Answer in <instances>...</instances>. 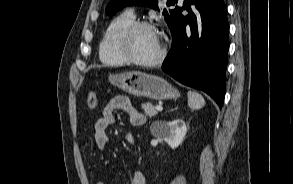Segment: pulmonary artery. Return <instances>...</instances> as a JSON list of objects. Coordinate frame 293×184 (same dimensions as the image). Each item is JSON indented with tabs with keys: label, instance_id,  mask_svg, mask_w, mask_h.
I'll return each mask as SVG.
<instances>
[{
	"label": "pulmonary artery",
	"instance_id": "obj_1",
	"mask_svg": "<svg viewBox=\"0 0 293 184\" xmlns=\"http://www.w3.org/2000/svg\"><path fill=\"white\" fill-rule=\"evenodd\" d=\"M180 1H182V0H180ZM129 13H130L131 15H133L132 11H129Z\"/></svg>",
	"mask_w": 293,
	"mask_h": 184
}]
</instances>
